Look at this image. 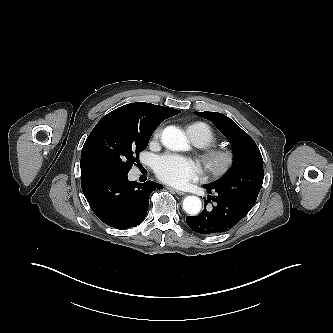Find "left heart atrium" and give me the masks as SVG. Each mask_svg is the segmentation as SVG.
Masks as SVG:
<instances>
[{"mask_svg":"<svg viewBox=\"0 0 333 333\" xmlns=\"http://www.w3.org/2000/svg\"><path fill=\"white\" fill-rule=\"evenodd\" d=\"M155 172L163 182L175 187H184L198 177L199 168L190 158L167 154L157 158Z\"/></svg>","mask_w":333,"mask_h":333,"instance_id":"39dd6f15","label":"left heart atrium"}]
</instances>
